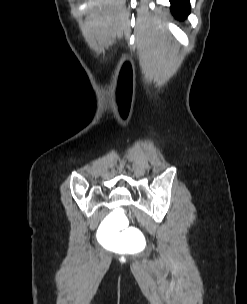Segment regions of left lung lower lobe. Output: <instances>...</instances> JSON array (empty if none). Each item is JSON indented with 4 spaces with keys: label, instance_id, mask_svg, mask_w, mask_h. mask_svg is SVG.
<instances>
[{
    "label": "left lung lower lobe",
    "instance_id": "1",
    "mask_svg": "<svg viewBox=\"0 0 247 304\" xmlns=\"http://www.w3.org/2000/svg\"><path fill=\"white\" fill-rule=\"evenodd\" d=\"M171 11L175 17L183 19L190 13L189 0H170Z\"/></svg>",
    "mask_w": 247,
    "mask_h": 304
}]
</instances>
